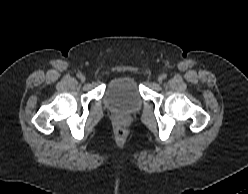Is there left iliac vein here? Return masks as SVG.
<instances>
[{"mask_svg":"<svg viewBox=\"0 0 248 194\" xmlns=\"http://www.w3.org/2000/svg\"><path fill=\"white\" fill-rule=\"evenodd\" d=\"M162 81H163V77L160 76V77L158 78V82L161 83Z\"/></svg>","mask_w":248,"mask_h":194,"instance_id":"obj_1","label":"left iliac vein"}]
</instances>
